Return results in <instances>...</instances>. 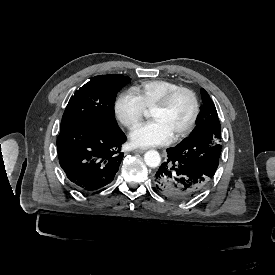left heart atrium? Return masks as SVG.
Masks as SVG:
<instances>
[{
    "label": "left heart atrium",
    "instance_id": "left-heart-atrium-1",
    "mask_svg": "<svg viewBox=\"0 0 275 275\" xmlns=\"http://www.w3.org/2000/svg\"><path fill=\"white\" fill-rule=\"evenodd\" d=\"M170 138V133L155 120L138 125L130 133V143L135 147L160 145L168 142Z\"/></svg>",
    "mask_w": 275,
    "mask_h": 275
}]
</instances>
